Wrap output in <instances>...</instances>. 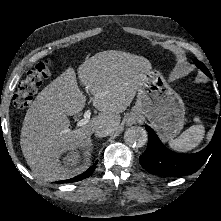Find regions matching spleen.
Returning a JSON list of instances; mask_svg holds the SVG:
<instances>
[{
  "instance_id": "obj_1",
  "label": "spleen",
  "mask_w": 221,
  "mask_h": 221,
  "mask_svg": "<svg viewBox=\"0 0 221 221\" xmlns=\"http://www.w3.org/2000/svg\"><path fill=\"white\" fill-rule=\"evenodd\" d=\"M195 122L200 123L199 117L194 118ZM205 135L204 125L197 124L189 127L178 138L171 139L169 146L178 152H187L197 147L203 140Z\"/></svg>"
}]
</instances>
